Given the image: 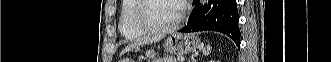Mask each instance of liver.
<instances>
[{
	"label": "liver",
	"mask_w": 331,
	"mask_h": 62,
	"mask_svg": "<svg viewBox=\"0 0 331 62\" xmlns=\"http://www.w3.org/2000/svg\"><path fill=\"white\" fill-rule=\"evenodd\" d=\"M163 38V36H155V37H147V38H144V39H140V40H137L131 44H129L124 50L123 52H127L133 48H136L140 45H144V44H151V43H155V42H158L159 40H161Z\"/></svg>",
	"instance_id": "obj_1"
}]
</instances>
